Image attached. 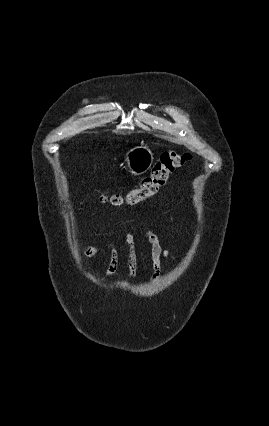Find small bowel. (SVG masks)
I'll return each instance as SVG.
<instances>
[{
  "mask_svg": "<svg viewBox=\"0 0 269 426\" xmlns=\"http://www.w3.org/2000/svg\"><path fill=\"white\" fill-rule=\"evenodd\" d=\"M146 237L150 246V258L152 262L151 282L155 283L162 273V260L168 259L170 254L169 251L162 246L161 241L156 233L147 231ZM124 242L128 248L127 277L132 279L136 274L139 264L138 249L135 238L131 233L126 232L124 234ZM101 250H106L110 253L109 264L104 275L105 279H108L113 276L118 269L120 254L117 246L113 243H107L102 247L87 245L84 249V252L88 256H94Z\"/></svg>",
  "mask_w": 269,
  "mask_h": 426,
  "instance_id": "obj_1",
  "label": "small bowel"
}]
</instances>
